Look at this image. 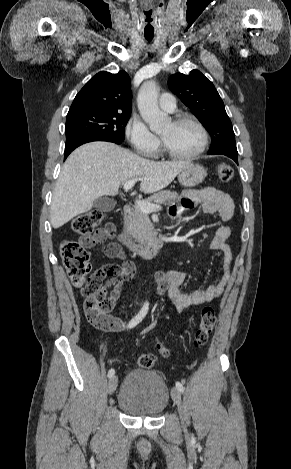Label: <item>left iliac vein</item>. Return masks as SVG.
Here are the masks:
<instances>
[{
    "instance_id": "obj_1",
    "label": "left iliac vein",
    "mask_w": 291,
    "mask_h": 469,
    "mask_svg": "<svg viewBox=\"0 0 291 469\" xmlns=\"http://www.w3.org/2000/svg\"><path fill=\"white\" fill-rule=\"evenodd\" d=\"M171 395H172V399L173 401L175 402V404L177 405V408H178V411H179V415H180V419L183 423V425L185 424V414H184V410H183V405H182V398H181V394L179 392V390L177 388H173L171 390Z\"/></svg>"
}]
</instances>
